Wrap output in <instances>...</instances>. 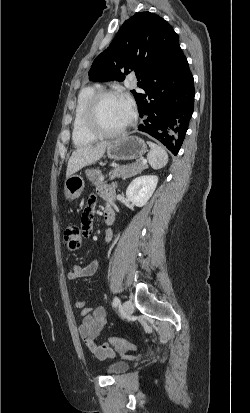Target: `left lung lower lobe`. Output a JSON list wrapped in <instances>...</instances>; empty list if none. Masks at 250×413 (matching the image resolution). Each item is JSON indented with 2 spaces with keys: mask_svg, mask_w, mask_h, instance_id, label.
<instances>
[{
  "mask_svg": "<svg viewBox=\"0 0 250 413\" xmlns=\"http://www.w3.org/2000/svg\"><path fill=\"white\" fill-rule=\"evenodd\" d=\"M178 36L161 39L160 67L141 84L137 94L143 123L138 130L146 132L174 154L179 152L193 113L194 84Z\"/></svg>",
  "mask_w": 250,
  "mask_h": 413,
  "instance_id": "left-lung-lower-lobe-1",
  "label": "left lung lower lobe"
}]
</instances>
